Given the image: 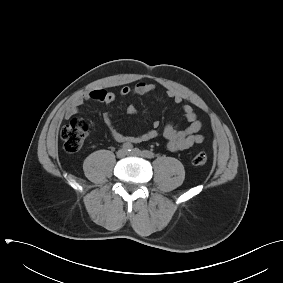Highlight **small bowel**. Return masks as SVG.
Here are the masks:
<instances>
[{"mask_svg": "<svg viewBox=\"0 0 283 283\" xmlns=\"http://www.w3.org/2000/svg\"><path fill=\"white\" fill-rule=\"evenodd\" d=\"M156 89V85L153 83H147L144 81L136 83L133 87L124 86L121 88L120 93L123 96L130 94L134 95H146L153 92ZM167 96L172 99L176 104H181L182 112L189 125L183 129H178L172 122H169L164 127L162 133L159 131L160 122L154 121L152 129L137 136H129L119 132L112 123L111 117L108 113L104 114V122L112 136V138L120 143H141L152 139L158 138L161 134L167 141V148L172 152L183 151L191 148L196 144H200L204 141V136L200 134L202 128V122L198 119L194 108L189 104H183V97L174 90H168ZM115 94L105 89H97L90 91L84 95L76 98L66 109L65 118L69 119L78 112L80 106H82L88 100H95L105 104H110L115 101ZM129 114H135L137 109L134 105L130 104L127 107Z\"/></svg>", "mask_w": 283, "mask_h": 283, "instance_id": "small-bowel-1", "label": "small bowel"}]
</instances>
